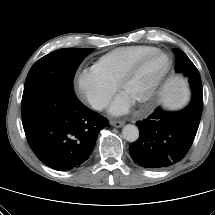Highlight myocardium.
<instances>
[{
    "label": "myocardium",
    "instance_id": "obj_1",
    "mask_svg": "<svg viewBox=\"0 0 215 215\" xmlns=\"http://www.w3.org/2000/svg\"><path fill=\"white\" fill-rule=\"evenodd\" d=\"M155 55H163L167 58L166 67L164 68V70L162 71V73L160 74V76L158 77L156 82L153 84V86L151 87L149 92L138 101V104H145V103L151 101L156 96L158 91L160 90L161 86L163 85L166 78L168 77L169 72L172 67V59H171L170 55L167 52L160 50V49H154V50L144 54L143 56L138 58L135 62H133V64L123 74V76L121 77V79L118 83L119 90L123 92V89L125 88V86L136 76V74L141 69V67L150 58H152Z\"/></svg>",
    "mask_w": 215,
    "mask_h": 215
}]
</instances>
